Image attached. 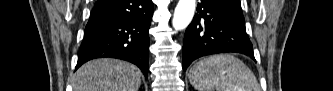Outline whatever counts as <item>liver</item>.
Instances as JSON below:
<instances>
[{
	"mask_svg": "<svg viewBox=\"0 0 333 91\" xmlns=\"http://www.w3.org/2000/svg\"><path fill=\"white\" fill-rule=\"evenodd\" d=\"M141 71L115 59H97L82 65L75 73L74 91H138Z\"/></svg>",
	"mask_w": 333,
	"mask_h": 91,
	"instance_id": "liver-1",
	"label": "liver"
}]
</instances>
